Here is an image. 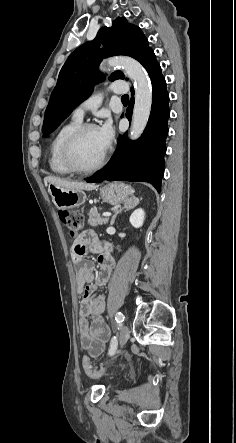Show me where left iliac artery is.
I'll use <instances>...</instances> for the list:
<instances>
[{"instance_id": "44dca946", "label": "left iliac artery", "mask_w": 236, "mask_h": 443, "mask_svg": "<svg viewBox=\"0 0 236 443\" xmlns=\"http://www.w3.org/2000/svg\"><path fill=\"white\" fill-rule=\"evenodd\" d=\"M115 320L117 323H122L125 320V316L121 312H117L115 314ZM116 348H117V339L114 336L110 342V347H109V352H108L109 355H113L116 351Z\"/></svg>"}]
</instances>
